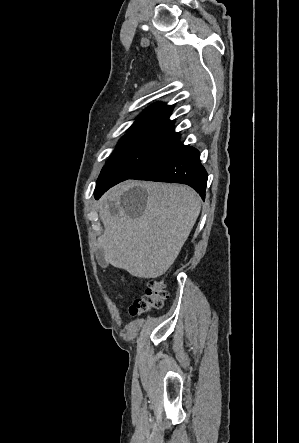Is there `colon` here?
<instances>
[{"instance_id":"5ec220e1","label":"colon","mask_w":299,"mask_h":443,"mask_svg":"<svg viewBox=\"0 0 299 443\" xmlns=\"http://www.w3.org/2000/svg\"><path fill=\"white\" fill-rule=\"evenodd\" d=\"M167 293L163 282L160 280H150L148 282L145 294L137 298L130 306V314L133 316L142 315L149 311L159 310Z\"/></svg>"}]
</instances>
